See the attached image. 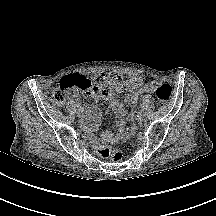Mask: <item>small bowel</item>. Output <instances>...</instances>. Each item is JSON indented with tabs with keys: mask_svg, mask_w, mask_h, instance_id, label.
<instances>
[{
	"mask_svg": "<svg viewBox=\"0 0 216 216\" xmlns=\"http://www.w3.org/2000/svg\"><path fill=\"white\" fill-rule=\"evenodd\" d=\"M103 83L106 85L107 89H102L100 86L95 90L88 93V97L95 102L106 100L110 103L113 111L121 117L127 116L129 120L133 119L132 114H128L124 105L117 99L115 93L126 92L125 102L135 107L139 96L141 93L154 92V87L156 82H150L144 84V80L141 76H135L132 78H125L118 73H109L106 75H101ZM99 123L98 112L93 108H87V119L85 121L84 127L87 131H92L97 128ZM130 132L126 126L125 121L121 120L118 124L117 133L114 134L110 131L105 132L100 137L102 142H111L118 139L125 138L129 136ZM97 138L93 137L92 142L96 143Z\"/></svg>",
	"mask_w": 216,
	"mask_h": 216,
	"instance_id": "1",
	"label": "small bowel"
}]
</instances>
